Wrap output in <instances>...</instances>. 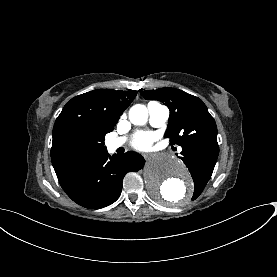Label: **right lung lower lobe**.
<instances>
[{"mask_svg": "<svg viewBox=\"0 0 277 277\" xmlns=\"http://www.w3.org/2000/svg\"><path fill=\"white\" fill-rule=\"evenodd\" d=\"M144 158L134 152L109 156L107 150L56 172L63 190L77 204L99 209L115 202L126 173L137 172Z\"/></svg>", "mask_w": 277, "mask_h": 277, "instance_id": "98d812e1", "label": "right lung lower lobe"}]
</instances>
